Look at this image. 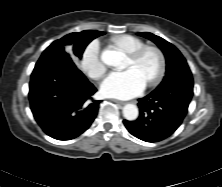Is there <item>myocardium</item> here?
Returning <instances> with one entry per match:
<instances>
[{
	"mask_svg": "<svg viewBox=\"0 0 222 187\" xmlns=\"http://www.w3.org/2000/svg\"><path fill=\"white\" fill-rule=\"evenodd\" d=\"M149 51H153L154 53H156L159 58V68L157 74L148 83H146V87H153L158 85L163 80L166 74L167 58L164 51L156 45L145 44L134 52L128 54V58L132 62H138L143 57V55Z\"/></svg>",
	"mask_w": 222,
	"mask_h": 187,
	"instance_id": "1",
	"label": "myocardium"
}]
</instances>
